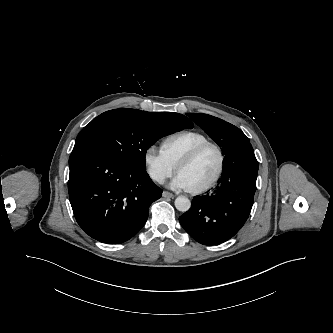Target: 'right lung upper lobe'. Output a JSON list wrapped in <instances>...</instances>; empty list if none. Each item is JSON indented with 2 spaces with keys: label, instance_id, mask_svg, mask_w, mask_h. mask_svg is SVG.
<instances>
[{
  "label": "right lung upper lobe",
  "instance_id": "1",
  "mask_svg": "<svg viewBox=\"0 0 333 333\" xmlns=\"http://www.w3.org/2000/svg\"><path fill=\"white\" fill-rule=\"evenodd\" d=\"M143 116L151 119V120H163L165 118H168V117H176V118H179L180 120H182L183 122L187 123L188 125H192L193 126V123L192 121L185 117L184 115H181V114H178V113H169V112H166V113H156V112H146V111H141V110H138Z\"/></svg>",
  "mask_w": 333,
  "mask_h": 333
}]
</instances>
